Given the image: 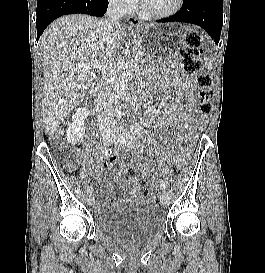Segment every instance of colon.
Masks as SVG:
<instances>
[{"label": "colon", "mask_w": 265, "mask_h": 273, "mask_svg": "<svg viewBox=\"0 0 265 273\" xmlns=\"http://www.w3.org/2000/svg\"><path fill=\"white\" fill-rule=\"evenodd\" d=\"M202 36L197 31H191L187 34L186 44L182 48L180 53L181 63L184 70L196 77V83L198 85V97L200 100L199 110L203 114H208L211 112V84L212 79L209 74L204 71L203 64L200 59L202 52ZM66 164L70 168H75L77 165V155L72 153L66 159ZM126 173L129 176H134L136 174V169L134 167H128ZM146 194L156 195L157 191L146 186L144 188Z\"/></svg>", "instance_id": "1"}]
</instances>
